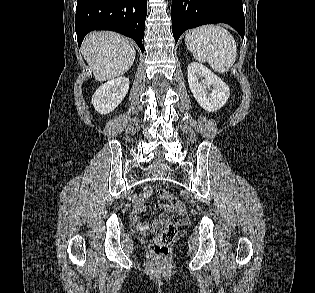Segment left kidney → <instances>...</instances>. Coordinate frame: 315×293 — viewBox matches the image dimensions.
I'll return each instance as SVG.
<instances>
[{
  "label": "left kidney",
  "mask_w": 315,
  "mask_h": 293,
  "mask_svg": "<svg viewBox=\"0 0 315 293\" xmlns=\"http://www.w3.org/2000/svg\"><path fill=\"white\" fill-rule=\"evenodd\" d=\"M187 72L190 90L205 111L215 112L224 106L230 90L217 75L197 62L190 63ZM199 79H202V83Z\"/></svg>",
  "instance_id": "1"
}]
</instances>
